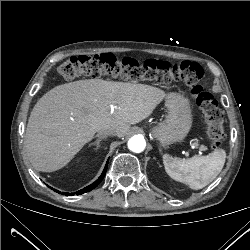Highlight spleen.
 Wrapping results in <instances>:
<instances>
[{"instance_id": "spleen-1", "label": "spleen", "mask_w": 250, "mask_h": 250, "mask_svg": "<svg viewBox=\"0 0 250 250\" xmlns=\"http://www.w3.org/2000/svg\"><path fill=\"white\" fill-rule=\"evenodd\" d=\"M226 159L224 149H215L207 156H193L189 159L163 155L166 173L191 189L198 190L207 186L221 172Z\"/></svg>"}]
</instances>
